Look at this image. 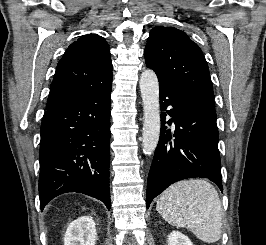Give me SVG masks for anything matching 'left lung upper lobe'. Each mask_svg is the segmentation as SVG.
Masks as SVG:
<instances>
[{"instance_id": "left-lung-upper-lobe-1", "label": "left lung upper lobe", "mask_w": 266, "mask_h": 245, "mask_svg": "<svg viewBox=\"0 0 266 245\" xmlns=\"http://www.w3.org/2000/svg\"><path fill=\"white\" fill-rule=\"evenodd\" d=\"M144 54L147 67L155 71L159 81L215 110L207 62L186 33L157 26L150 31Z\"/></svg>"}]
</instances>
